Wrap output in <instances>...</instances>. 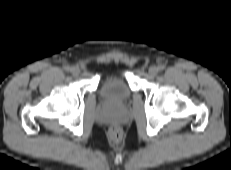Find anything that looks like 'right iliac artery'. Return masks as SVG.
Here are the masks:
<instances>
[{
    "instance_id": "right-iliac-artery-1",
    "label": "right iliac artery",
    "mask_w": 231,
    "mask_h": 170,
    "mask_svg": "<svg viewBox=\"0 0 231 170\" xmlns=\"http://www.w3.org/2000/svg\"><path fill=\"white\" fill-rule=\"evenodd\" d=\"M64 69H65V71H70L71 70L70 66H65Z\"/></svg>"
}]
</instances>
